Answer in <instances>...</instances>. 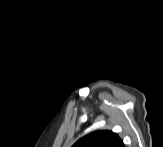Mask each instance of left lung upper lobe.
<instances>
[{"instance_id": "5c2ea615", "label": "left lung upper lobe", "mask_w": 163, "mask_h": 147, "mask_svg": "<svg viewBox=\"0 0 163 147\" xmlns=\"http://www.w3.org/2000/svg\"><path fill=\"white\" fill-rule=\"evenodd\" d=\"M121 139L109 130L96 131L79 139L73 147H117Z\"/></svg>"}]
</instances>
